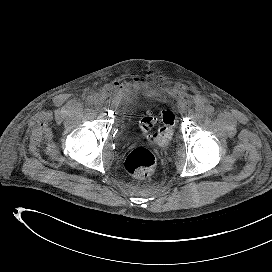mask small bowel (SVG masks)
I'll return each instance as SVG.
<instances>
[{"instance_id": "1", "label": "small bowel", "mask_w": 272, "mask_h": 272, "mask_svg": "<svg viewBox=\"0 0 272 272\" xmlns=\"http://www.w3.org/2000/svg\"><path fill=\"white\" fill-rule=\"evenodd\" d=\"M118 85H119L118 83H115V87H118Z\"/></svg>"}]
</instances>
